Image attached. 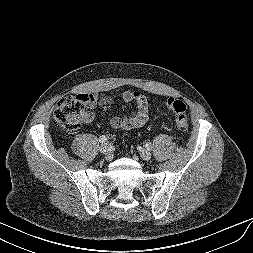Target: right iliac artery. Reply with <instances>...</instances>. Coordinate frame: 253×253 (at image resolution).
Returning <instances> with one entry per match:
<instances>
[{
	"mask_svg": "<svg viewBox=\"0 0 253 253\" xmlns=\"http://www.w3.org/2000/svg\"><path fill=\"white\" fill-rule=\"evenodd\" d=\"M107 138L108 137L106 135H102V136L99 137V142L100 143H105L107 141Z\"/></svg>",
	"mask_w": 253,
	"mask_h": 253,
	"instance_id": "1",
	"label": "right iliac artery"
}]
</instances>
